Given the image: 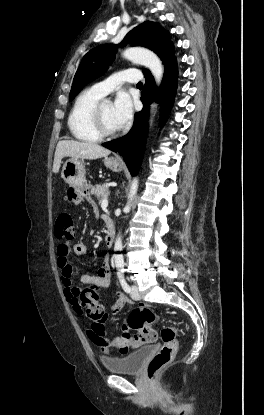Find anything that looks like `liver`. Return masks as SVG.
Masks as SVG:
<instances>
[{"instance_id":"1","label":"liver","mask_w":264,"mask_h":415,"mask_svg":"<svg viewBox=\"0 0 264 415\" xmlns=\"http://www.w3.org/2000/svg\"><path fill=\"white\" fill-rule=\"evenodd\" d=\"M111 151L95 143L80 142L73 140L59 141L55 151L53 172L58 173L61 160L64 157L82 158V159H98L106 157Z\"/></svg>"}]
</instances>
